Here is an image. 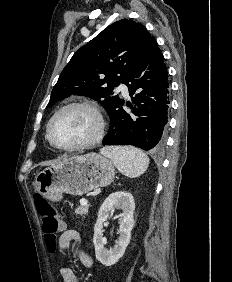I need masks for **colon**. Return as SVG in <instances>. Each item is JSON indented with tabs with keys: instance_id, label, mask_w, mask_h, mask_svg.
Listing matches in <instances>:
<instances>
[{
	"instance_id": "colon-1",
	"label": "colon",
	"mask_w": 232,
	"mask_h": 282,
	"mask_svg": "<svg viewBox=\"0 0 232 282\" xmlns=\"http://www.w3.org/2000/svg\"><path fill=\"white\" fill-rule=\"evenodd\" d=\"M36 209L41 217L45 243L49 252H54L57 246V237L62 230V222L55 208L40 194L34 196Z\"/></svg>"
}]
</instances>
